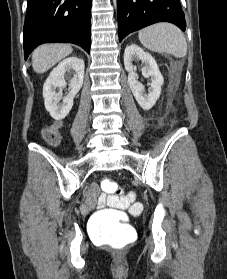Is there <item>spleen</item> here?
Here are the masks:
<instances>
[{
    "instance_id": "1",
    "label": "spleen",
    "mask_w": 227,
    "mask_h": 279,
    "mask_svg": "<svg viewBox=\"0 0 227 279\" xmlns=\"http://www.w3.org/2000/svg\"><path fill=\"white\" fill-rule=\"evenodd\" d=\"M139 40L147 49L168 53L177 58L187 54L186 39L181 30L170 23H158L139 31Z\"/></svg>"
}]
</instances>
